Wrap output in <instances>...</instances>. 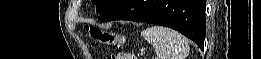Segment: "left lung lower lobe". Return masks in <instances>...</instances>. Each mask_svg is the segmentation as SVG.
<instances>
[{
  "instance_id": "1",
  "label": "left lung lower lobe",
  "mask_w": 261,
  "mask_h": 59,
  "mask_svg": "<svg viewBox=\"0 0 261 59\" xmlns=\"http://www.w3.org/2000/svg\"><path fill=\"white\" fill-rule=\"evenodd\" d=\"M205 5L206 0H121L99 20H131L162 25L181 32L203 49Z\"/></svg>"
}]
</instances>
